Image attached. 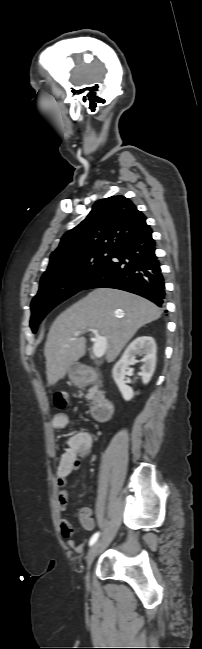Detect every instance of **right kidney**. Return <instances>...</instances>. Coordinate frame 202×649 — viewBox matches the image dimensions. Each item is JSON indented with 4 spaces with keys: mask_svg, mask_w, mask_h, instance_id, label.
<instances>
[{
    "mask_svg": "<svg viewBox=\"0 0 202 649\" xmlns=\"http://www.w3.org/2000/svg\"><path fill=\"white\" fill-rule=\"evenodd\" d=\"M136 355L143 356L140 375L142 382L147 384L153 376L156 366V343L154 338L144 335L135 338L113 367V379L125 400H130L134 396L133 389L126 385L125 375L127 374L128 366L135 365L138 362L135 358Z\"/></svg>",
    "mask_w": 202,
    "mask_h": 649,
    "instance_id": "obj_1",
    "label": "right kidney"
}]
</instances>
